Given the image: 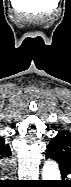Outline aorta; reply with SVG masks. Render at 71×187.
I'll use <instances>...</instances> for the list:
<instances>
[{
	"mask_svg": "<svg viewBox=\"0 0 71 187\" xmlns=\"http://www.w3.org/2000/svg\"><path fill=\"white\" fill-rule=\"evenodd\" d=\"M43 180H60V171L58 164L53 161H47L42 170Z\"/></svg>",
	"mask_w": 71,
	"mask_h": 187,
	"instance_id": "1",
	"label": "aorta"
}]
</instances>
